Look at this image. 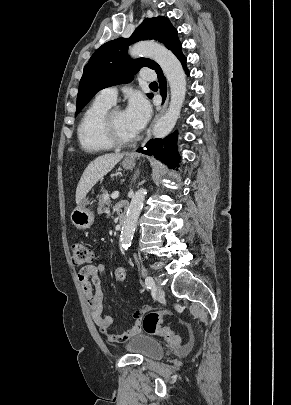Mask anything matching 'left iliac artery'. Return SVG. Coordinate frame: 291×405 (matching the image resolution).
<instances>
[{
	"mask_svg": "<svg viewBox=\"0 0 291 405\" xmlns=\"http://www.w3.org/2000/svg\"><path fill=\"white\" fill-rule=\"evenodd\" d=\"M145 285L148 289H153L155 287V282L152 277L147 276L145 278Z\"/></svg>",
	"mask_w": 291,
	"mask_h": 405,
	"instance_id": "left-iliac-artery-1",
	"label": "left iliac artery"
}]
</instances>
